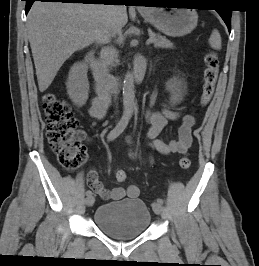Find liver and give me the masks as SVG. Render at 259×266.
Listing matches in <instances>:
<instances>
[{
	"mask_svg": "<svg viewBox=\"0 0 259 266\" xmlns=\"http://www.w3.org/2000/svg\"><path fill=\"white\" fill-rule=\"evenodd\" d=\"M127 20L124 5L35 2L27 24L39 91L51 85L74 52L107 41L108 29L120 30Z\"/></svg>",
	"mask_w": 259,
	"mask_h": 266,
	"instance_id": "liver-1",
	"label": "liver"
}]
</instances>
